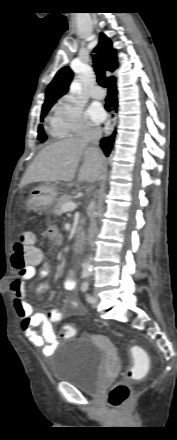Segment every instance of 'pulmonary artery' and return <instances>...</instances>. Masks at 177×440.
Masks as SVG:
<instances>
[{"instance_id":"1","label":"pulmonary artery","mask_w":177,"mask_h":440,"mask_svg":"<svg viewBox=\"0 0 177 440\" xmlns=\"http://www.w3.org/2000/svg\"><path fill=\"white\" fill-rule=\"evenodd\" d=\"M90 95L94 99H102L104 97V91L101 87L97 86L90 92Z\"/></svg>"}]
</instances>
